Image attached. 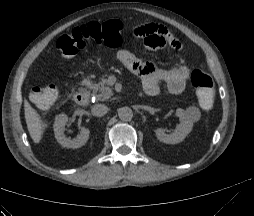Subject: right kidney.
Returning <instances> with one entry per match:
<instances>
[{
	"instance_id": "1",
	"label": "right kidney",
	"mask_w": 254,
	"mask_h": 216,
	"mask_svg": "<svg viewBox=\"0 0 254 216\" xmlns=\"http://www.w3.org/2000/svg\"><path fill=\"white\" fill-rule=\"evenodd\" d=\"M67 122L68 116L66 114H59L58 116H56L54 122L55 138L57 142L63 147L73 149L80 148L88 141L90 131L88 128L81 127L80 134L76 138L70 139L64 134L65 125Z\"/></svg>"
}]
</instances>
